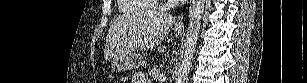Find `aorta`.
Segmentation results:
<instances>
[{
    "label": "aorta",
    "mask_w": 307,
    "mask_h": 83,
    "mask_svg": "<svg viewBox=\"0 0 307 83\" xmlns=\"http://www.w3.org/2000/svg\"><path fill=\"white\" fill-rule=\"evenodd\" d=\"M205 0H191L186 33V50L179 68L176 83H184L192 66V60L200 32Z\"/></svg>",
    "instance_id": "1"
}]
</instances>
